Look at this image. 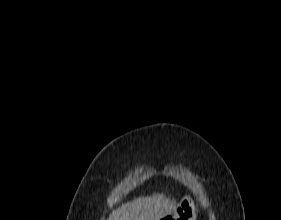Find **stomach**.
<instances>
[{"label":"stomach","mask_w":281,"mask_h":220,"mask_svg":"<svg viewBox=\"0 0 281 220\" xmlns=\"http://www.w3.org/2000/svg\"><path fill=\"white\" fill-rule=\"evenodd\" d=\"M163 220H196V209L193 200L185 197L176 206L174 212L162 218Z\"/></svg>","instance_id":"obj_1"}]
</instances>
